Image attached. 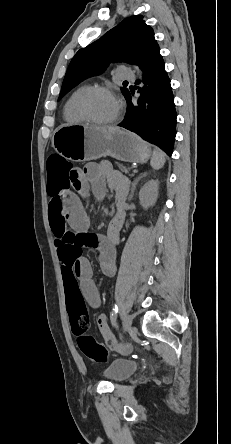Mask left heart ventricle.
Masks as SVG:
<instances>
[{"label":"left heart ventricle","instance_id":"left-heart-ventricle-1","mask_svg":"<svg viewBox=\"0 0 231 444\" xmlns=\"http://www.w3.org/2000/svg\"><path fill=\"white\" fill-rule=\"evenodd\" d=\"M87 110L92 118L98 121L109 120L118 111V103L108 93H94L87 101Z\"/></svg>","mask_w":231,"mask_h":444}]
</instances>
